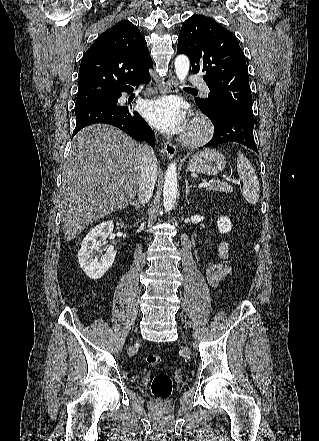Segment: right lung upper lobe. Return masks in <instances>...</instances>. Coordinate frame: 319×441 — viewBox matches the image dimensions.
<instances>
[{"label": "right lung upper lobe", "mask_w": 319, "mask_h": 441, "mask_svg": "<svg viewBox=\"0 0 319 441\" xmlns=\"http://www.w3.org/2000/svg\"><path fill=\"white\" fill-rule=\"evenodd\" d=\"M153 67L147 43L130 21L102 33L83 55L76 102L115 96L149 74Z\"/></svg>", "instance_id": "cb5924a9"}]
</instances>
